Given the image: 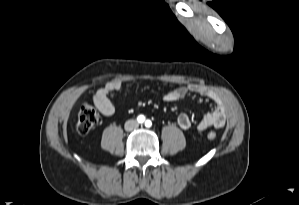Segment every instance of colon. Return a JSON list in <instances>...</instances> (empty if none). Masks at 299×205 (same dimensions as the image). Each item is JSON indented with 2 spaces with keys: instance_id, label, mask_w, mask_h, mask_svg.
Masks as SVG:
<instances>
[{
  "instance_id": "5ec220e1",
  "label": "colon",
  "mask_w": 299,
  "mask_h": 205,
  "mask_svg": "<svg viewBox=\"0 0 299 205\" xmlns=\"http://www.w3.org/2000/svg\"><path fill=\"white\" fill-rule=\"evenodd\" d=\"M98 114L93 106H91L87 102H83L80 106L78 113V121H77V131L81 135L88 134L98 123ZM207 137L210 141L216 139V133L214 131H210L207 134Z\"/></svg>"
}]
</instances>
